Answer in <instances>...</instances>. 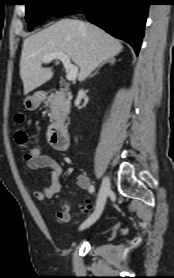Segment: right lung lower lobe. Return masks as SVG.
Listing matches in <instances>:
<instances>
[{
  "label": "right lung lower lobe",
  "instance_id": "right-lung-lower-lobe-1",
  "mask_svg": "<svg viewBox=\"0 0 174 278\" xmlns=\"http://www.w3.org/2000/svg\"><path fill=\"white\" fill-rule=\"evenodd\" d=\"M148 7V0H79L67 14L84 13L90 22L128 42L138 54Z\"/></svg>",
  "mask_w": 174,
  "mask_h": 278
}]
</instances>
